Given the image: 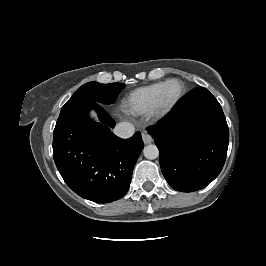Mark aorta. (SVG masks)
<instances>
[{
	"instance_id": "762f6f07",
	"label": "aorta",
	"mask_w": 266,
	"mask_h": 266,
	"mask_svg": "<svg viewBox=\"0 0 266 266\" xmlns=\"http://www.w3.org/2000/svg\"><path fill=\"white\" fill-rule=\"evenodd\" d=\"M143 154L145 158L153 160L159 156V150L156 145L150 144L144 147Z\"/></svg>"
}]
</instances>
